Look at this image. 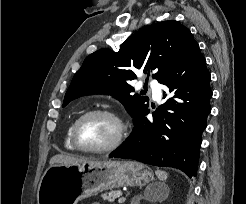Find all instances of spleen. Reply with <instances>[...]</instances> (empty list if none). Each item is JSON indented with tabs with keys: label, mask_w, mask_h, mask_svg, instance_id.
<instances>
[{
	"label": "spleen",
	"mask_w": 246,
	"mask_h": 204,
	"mask_svg": "<svg viewBox=\"0 0 246 204\" xmlns=\"http://www.w3.org/2000/svg\"><path fill=\"white\" fill-rule=\"evenodd\" d=\"M156 175L161 181H166L168 178V173L159 169L156 170Z\"/></svg>",
	"instance_id": "1"
}]
</instances>
